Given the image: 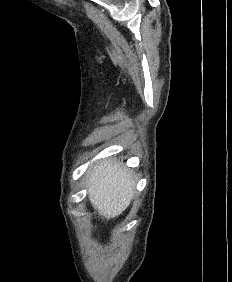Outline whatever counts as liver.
<instances>
[{
  "label": "liver",
  "instance_id": "6515ba94",
  "mask_svg": "<svg viewBox=\"0 0 232 282\" xmlns=\"http://www.w3.org/2000/svg\"><path fill=\"white\" fill-rule=\"evenodd\" d=\"M89 174V199L100 215L114 218L129 206L135 181L127 169L111 161L96 164Z\"/></svg>",
  "mask_w": 232,
  "mask_h": 282
}]
</instances>
